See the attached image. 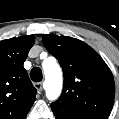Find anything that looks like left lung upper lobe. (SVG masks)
Listing matches in <instances>:
<instances>
[{"label":"left lung upper lobe","instance_id":"5c2ea615","mask_svg":"<svg viewBox=\"0 0 119 119\" xmlns=\"http://www.w3.org/2000/svg\"><path fill=\"white\" fill-rule=\"evenodd\" d=\"M42 41L64 73L63 92L51 108L107 119L114 103L115 83L104 60L89 45L72 37L45 35Z\"/></svg>","mask_w":119,"mask_h":119}]
</instances>
